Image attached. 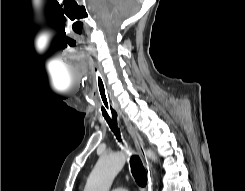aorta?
I'll return each instance as SVG.
<instances>
[{"instance_id":"762f6f07","label":"aorta","mask_w":245,"mask_h":191,"mask_svg":"<svg viewBox=\"0 0 245 191\" xmlns=\"http://www.w3.org/2000/svg\"><path fill=\"white\" fill-rule=\"evenodd\" d=\"M146 154L151 160H157L153 151L147 150ZM125 162L126 155L123 152L101 156L88 177L84 191H109L114 178Z\"/></svg>"}]
</instances>
